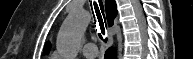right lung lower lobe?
Segmentation results:
<instances>
[{"mask_svg":"<svg viewBox=\"0 0 193 59\" xmlns=\"http://www.w3.org/2000/svg\"><path fill=\"white\" fill-rule=\"evenodd\" d=\"M116 54L114 49H109L105 54V59H115Z\"/></svg>","mask_w":193,"mask_h":59,"instance_id":"98d812e1","label":"right lung lower lobe"}]
</instances>
